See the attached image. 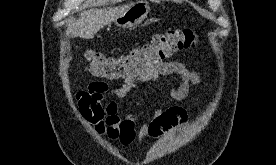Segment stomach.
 Segmentation results:
<instances>
[{
	"instance_id": "0dacf381",
	"label": "stomach",
	"mask_w": 276,
	"mask_h": 165,
	"mask_svg": "<svg viewBox=\"0 0 276 165\" xmlns=\"http://www.w3.org/2000/svg\"><path fill=\"white\" fill-rule=\"evenodd\" d=\"M150 6L147 1L139 0L115 19L119 28H132L139 25L148 15Z\"/></svg>"
}]
</instances>
